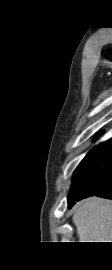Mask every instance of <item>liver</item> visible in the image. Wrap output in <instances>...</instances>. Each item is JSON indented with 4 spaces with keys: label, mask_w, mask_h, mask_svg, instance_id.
I'll return each mask as SVG.
<instances>
[{
    "label": "liver",
    "mask_w": 112,
    "mask_h": 270,
    "mask_svg": "<svg viewBox=\"0 0 112 270\" xmlns=\"http://www.w3.org/2000/svg\"><path fill=\"white\" fill-rule=\"evenodd\" d=\"M79 242H112V202L93 197L74 210Z\"/></svg>",
    "instance_id": "1"
}]
</instances>
